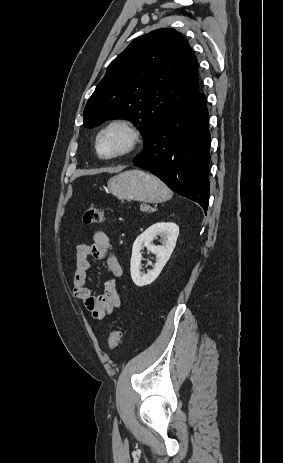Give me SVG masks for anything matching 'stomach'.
<instances>
[{"label":"stomach","instance_id":"1","mask_svg":"<svg viewBox=\"0 0 283 463\" xmlns=\"http://www.w3.org/2000/svg\"><path fill=\"white\" fill-rule=\"evenodd\" d=\"M107 185L120 200L158 203L170 197L169 189L160 179L137 169L111 177Z\"/></svg>","mask_w":283,"mask_h":463}]
</instances>
